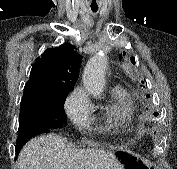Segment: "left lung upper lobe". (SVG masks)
<instances>
[{"mask_svg":"<svg viewBox=\"0 0 177 169\" xmlns=\"http://www.w3.org/2000/svg\"><path fill=\"white\" fill-rule=\"evenodd\" d=\"M131 62H132L133 64H135V61H134V59H133V58H131Z\"/></svg>","mask_w":177,"mask_h":169,"instance_id":"obj_1","label":"left lung upper lobe"}]
</instances>
